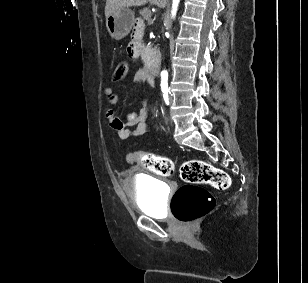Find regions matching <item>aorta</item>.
Here are the masks:
<instances>
[{
  "mask_svg": "<svg viewBox=\"0 0 308 283\" xmlns=\"http://www.w3.org/2000/svg\"><path fill=\"white\" fill-rule=\"evenodd\" d=\"M179 1L180 0H173L172 10H171L172 17H175V15H176ZM167 81H168V72L166 70H163L161 72V85H162V87H167Z\"/></svg>",
  "mask_w": 308,
  "mask_h": 283,
  "instance_id": "762f6f07",
  "label": "aorta"
}]
</instances>
